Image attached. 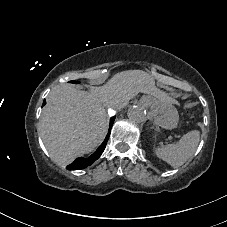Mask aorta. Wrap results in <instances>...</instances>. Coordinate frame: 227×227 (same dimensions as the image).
Masks as SVG:
<instances>
[{"label": "aorta", "instance_id": "762f6f07", "mask_svg": "<svg viewBox=\"0 0 227 227\" xmlns=\"http://www.w3.org/2000/svg\"><path fill=\"white\" fill-rule=\"evenodd\" d=\"M127 116L129 120L135 123H141L147 120L146 110L140 106H132L128 109Z\"/></svg>", "mask_w": 227, "mask_h": 227}]
</instances>
